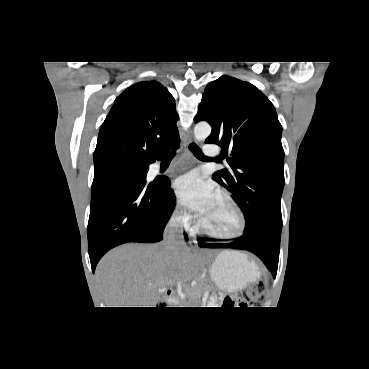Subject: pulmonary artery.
I'll list each match as a JSON object with an SVG mask.
<instances>
[{
  "label": "pulmonary artery",
  "mask_w": 369,
  "mask_h": 369,
  "mask_svg": "<svg viewBox=\"0 0 369 369\" xmlns=\"http://www.w3.org/2000/svg\"><path fill=\"white\" fill-rule=\"evenodd\" d=\"M219 150L216 145L213 144H207L204 146V154L207 157H213L218 154Z\"/></svg>",
  "instance_id": "pulmonary-artery-1"
}]
</instances>
